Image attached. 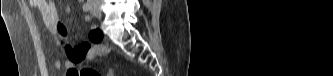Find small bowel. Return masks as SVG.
Returning a JSON list of instances; mask_svg holds the SVG:
<instances>
[{"mask_svg": "<svg viewBox=\"0 0 333 76\" xmlns=\"http://www.w3.org/2000/svg\"><path fill=\"white\" fill-rule=\"evenodd\" d=\"M33 4L43 17L44 23L49 31L60 37L66 33L65 26L58 17L55 4L48 0H34ZM85 21H89L88 15L84 16ZM104 35H100L95 26H92L89 33V39L86 41H74L67 43L63 47V53L66 56L65 61L57 60L54 63L56 69H67L64 76H82L78 63L89 61L97 55L104 54L107 49L100 44L104 42Z\"/></svg>", "mask_w": 333, "mask_h": 76, "instance_id": "1", "label": "small bowel"}]
</instances>
